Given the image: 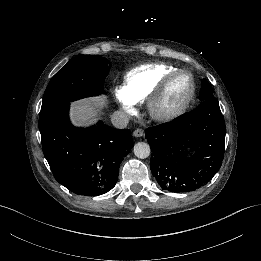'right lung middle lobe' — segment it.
<instances>
[{
	"mask_svg": "<svg viewBox=\"0 0 261 261\" xmlns=\"http://www.w3.org/2000/svg\"><path fill=\"white\" fill-rule=\"evenodd\" d=\"M110 65L107 59L97 55L74 57L50 80L41 110L56 103L101 94Z\"/></svg>",
	"mask_w": 261,
	"mask_h": 261,
	"instance_id": "dd1d6c3e",
	"label": "right lung middle lobe"
}]
</instances>
